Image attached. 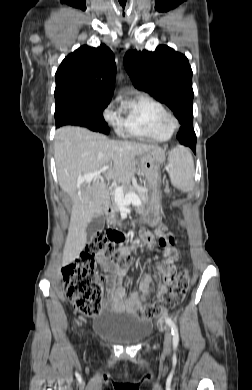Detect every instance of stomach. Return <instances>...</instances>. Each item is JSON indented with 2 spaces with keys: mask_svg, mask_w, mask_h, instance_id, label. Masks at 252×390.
Masks as SVG:
<instances>
[{
  "mask_svg": "<svg viewBox=\"0 0 252 390\" xmlns=\"http://www.w3.org/2000/svg\"><path fill=\"white\" fill-rule=\"evenodd\" d=\"M164 160L165 154L160 150H151L139 158V171L152 189L150 199L144 205L141 221L150 226H155L161 220L160 166Z\"/></svg>",
  "mask_w": 252,
  "mask_h": 390,
  "instance_id": "stomach-1",
  "label": "stomach"
}]
</instances>
